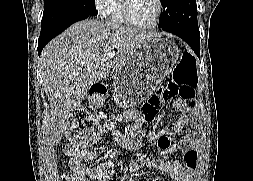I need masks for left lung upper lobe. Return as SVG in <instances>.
<instances>
[{
    "label": "left lung upper lobe",
    "instance_id": "1",
    "mask_svg": "<svg viewBox=\"0 0 253 181\" xmlns=\"http://www.w3.org/2000/svg\"><path fill=\"white\" fill-rule=\"evenodd\" d=\"M159 27L198 29L196 0H161Z\"/></svg>",
    "mask_w": 253,
    "mask_h": 181
}]
</instances>
